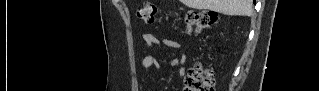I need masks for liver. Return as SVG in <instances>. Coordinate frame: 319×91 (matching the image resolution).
<instances>
[{"instance_id": "liver-1", "label": "liver", "mask_w": 319, "mask_h": 91, "mask_svg": "<svg viewBox=\"0 0 319 91\" xmlns=\"http://www.w3.org/2000/svg\"><path fill=\"white\" fill-rule=\"evenodd\" d=\"M189 8L208 9L229 16H250L253 13L252 0H181Z\"/></svg>"}]
</instances>
